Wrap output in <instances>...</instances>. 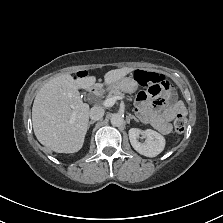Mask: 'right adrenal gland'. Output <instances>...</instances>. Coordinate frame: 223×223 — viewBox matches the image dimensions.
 Segmentation results:
<instances>
[{
  "mask_svg": "<svg viewBox=\"0 0 223 223\" xmlns=\"http://www.w3.org/2000/svg\"><path fill=\"white\" fill-rule=\"evenodd\" d=\"M93 123H95V121H89L88 124H87V129H89L90 125L93 124Z\"/></svg>",
  "mask_w": 223,
  "mask_h": 223,
  "instance_id": "1",
  "label": "right adrenal gland"
}]
</instances>
